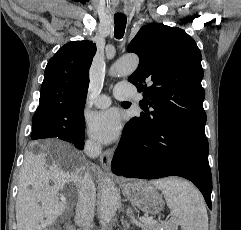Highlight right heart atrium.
Returning <instances> with one entry per match:
<instances>
[{
  "label": "right heart atrium",
  "instance_id": "1",
  "mask_svg": "<svg viewBox=\"0 0 241 230\" xmlns=\"http://www.w3.org/2000/svg\"><path fill=\"white\" fill-rule=\"evenodd\" d=\"M85 147L89 153H95L98 150V145L92 140H87L85 142Z\"/></svg>",
  "mask_w": 241,
  "mask_h": 230
}]
</instances>
